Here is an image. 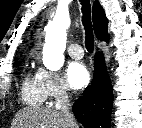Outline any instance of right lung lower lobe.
<instances>
[{
	"instance_id": "obj_1",
	"label": "right lung lower lobe",
	"mask_w": 142,
	"mask_h": 128,
	"mask_svg": "<svg viewBox=\"0 0 142 128\" xmlns=\"http://www.w3.org/2000/svg\"><path fill=\"white\" fill-rule=\"evenodd\" d=\"M113 100L104 57L98 52L95 55L92 85L77 99L72 111L85 128H110Z\"/></svg>"
}]
</instances>
